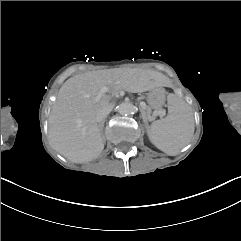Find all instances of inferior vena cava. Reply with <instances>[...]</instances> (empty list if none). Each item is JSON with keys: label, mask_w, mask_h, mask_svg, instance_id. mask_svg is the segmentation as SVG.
Listing matches in <instances>:
<instances>
[{"label": "inferior vena cava", "mask_w": 241, "mask_h": 241, "mask_svg": "<svg viewBox=\"0 0 241 241\" xmlns=\"http://www.w3.org/2000/svg\"><path fill=\"white\" fill-rule=\"evenodd\" d=\"M114 107V106H113ZM113 107H109L104 109L103 111H100L96 116V121L99 125H102L105 121V118L108 116V114L112 111Z\"/></svg>", "instance_id": "1"}]
</instances>
